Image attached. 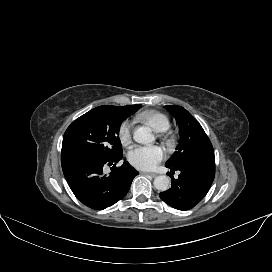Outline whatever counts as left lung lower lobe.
<instances>
[{"instance_id": "0a47b994", "label": "left lung lower lobe", "mask_w": 272, "mask_h": 272, "mask_svg": "<svg viewBox=\"0 0 272 272\" xmlns=\"http://www.w3.org/2000/svg\"><path fill=\"white\" fill-rule=\"evenodd\" d=\"M171 172L180 171L178 179L171 176V188L160 193L161 199L178 210H189L197 205L209 191L215 176V156L207 153L189 159Z\"/></svg>"}]
</instances>
